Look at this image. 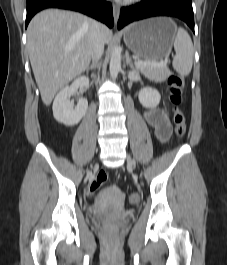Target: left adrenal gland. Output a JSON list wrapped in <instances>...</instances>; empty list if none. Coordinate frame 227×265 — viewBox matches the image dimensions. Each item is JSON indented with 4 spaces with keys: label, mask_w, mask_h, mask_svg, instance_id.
Returning a JSON list of instances; mask_svg holds the SVG:
<instances>
[{
    "label": "left adrenal gland",
    "mask_w": 227,
    "mask_h": 265,
    "mask_svg": "<svg viewBox=\"0 0 227 265\" xmlns=\"http://www.w3.org/2000/svg\"><path fill=\"white\" fill-rule=\"evenodd\" d=\"M125 59H126V64L130 67V69L132 71H136V68H135V66L133 64V61H132L131 57L129 56L128 51H126V53H125Z\"/></svg>",
    "instance_id": "left-adrenal-gland-1"
}]
</instances>
